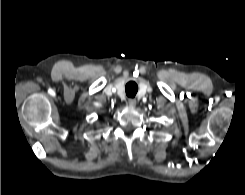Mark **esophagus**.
Returning <instances> with one entry per match:
<instances>
[{"mask_svg": "<svg viewBox=\"0 0 245 195\" xmlns=\"http://www.w3.org/2000/svg\"><path fill=\"white\" fill-rule=\"evenodd\" d=\"M128 105L130 107H135L136 106V99H134V98L128 99Z\"/></svg>", "mask_w": 245, "mask_h": 195, "instance_id": "34e87169", "label": "esophagus"}]
</instances>
